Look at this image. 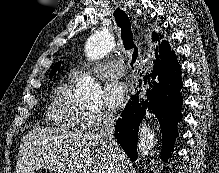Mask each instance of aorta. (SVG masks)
<instances>
[{
	"label": "aorta",
	"instance_id": "1",
	"mask_svg": "<svg viewBox=\"0 0 219 173\" xmlns=\"http://www.w3.org/2000/svg\"><path fill=\"white\" fill-rule=\"evenodd\" d=\"M114 47L112 34L101 29L88 38L85 45V54L88 60H99L106 56ZM102 93L101 86L89 76L77 80L76 94L84 101H95ZM155 145V137L150 127L144 122L139 128L138 155L140 160H145Z\"/></svg>",
	"mask_w": 219,
	"mask_h": 173
}]
</instances>
